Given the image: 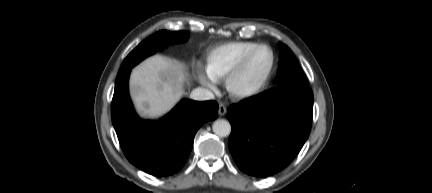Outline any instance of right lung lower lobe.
Listing matches in <instances>:
<instances>
[{"label":"right lung lower lobe","instance_id":"right-lung-lower-lobe-1","mask_svg":"<svg viewBox=\"0 0 432 193\" xmlns=\"http://www.w3.org/2000/svg\"><path fill=\"white\" fill-rule=\"evenodd\" d=\"M131 69L119 73L112 99V123L127 159L154 176L179 171L191 152L194 136L205 122L215 119V101L182 100L159 121L141 120L128 92Z\"/></svg>","mask_w":432,"mask_h":193}]
</instances>
